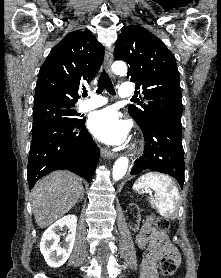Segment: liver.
Returning <instances> with one entry per match:
<instances>
[{
    "mask_svg": "<svg viewBox=\"0 0 221 278\" xmlns=\"http://www.w3.org/2000/svg\"><path fill=\"white\" fill-rule=\"evenodd\" d=\"M83 191L81 179L68 171H55L38 181L31 193L38 226L46 228L63 217L75 206Z\"/></svg>",
    "mask_w": 221,
    "mask_h": 278,
    "instance_id": "6515ba94",
    "label": "liver"
}]
</instances>
